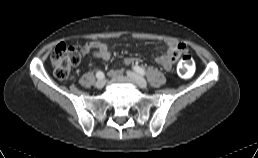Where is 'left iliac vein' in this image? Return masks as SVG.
<instances>
[{"label":"left iliac vein","mask_w":258,"mask_h":158,"mask_svg":"<svg viewBox=\"0 0 258 158\" xmlns=\"http://www.w3.org/2000/svg\"><path fill=\"white\" fill-rule=\"evenodd\" d=\"M127 75L130 77V79L136 83L140 88L145 89L147 88V82L146 80L140 76L139 74L133 72V71H128Z\"/></svg>","instance_id":"left-iliac-vein-1"}]
</instances>
